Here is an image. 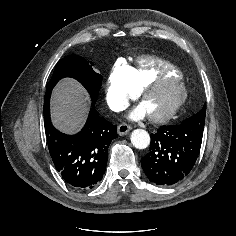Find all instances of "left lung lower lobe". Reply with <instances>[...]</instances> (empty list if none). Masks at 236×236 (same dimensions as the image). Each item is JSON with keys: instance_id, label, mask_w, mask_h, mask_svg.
I'll return each instance as SVG.
<instances>
[{"instance_id": "left-lung-lower-lobe-1", "label": "left lung lower lobe", "mask_w": 236, "mask_h": 236, "mask_svg": "<svg viewBox=\"0 0 236 236\" xmlns=\"http://www.w3.org/2000/svg\"><path fill=\"white\" fill-rule=\"evenodd\" d=\"M203 130L181 123L161 126L151 134L149 153L141 159L148 179L157 185H173L181 181L196 162Z\"/></svg>"}]
</instances>
